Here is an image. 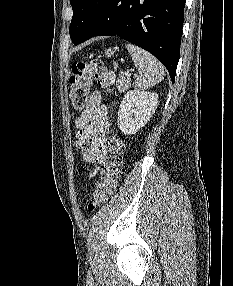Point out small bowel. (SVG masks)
Masks as SVG:
<instances>
[{"mask_svg":"<svg viewBox=\"0 0 233 286\" xmlns=\"http://www.w3.org/2000/svg\"><path fill=\"white\" fill-rule=\"evenodd\" d=\"M78 128V147L84 162L97 166L106 155L108 139V109L102 102V94L96 89L89 97L87 105L76 119ZM96 173L94 168L90 175Z\"/></svg>","mask_w":233,"mask_h":286,"instance_id":"1","label":"small bowel"}]
</instances>
